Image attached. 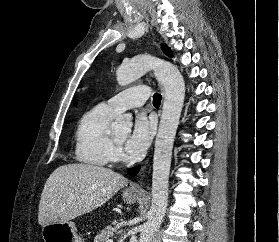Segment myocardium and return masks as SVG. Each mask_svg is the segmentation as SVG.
Listing matches in <instances>:
<instances>
[{
	"instance_id": "f54148a6",
	"label": "myocardium",
	"mask_w": 279,
	"mask_h": 242,
	"mask_svg": "<svg viewBox=\"0 0 279 242\" xmlns=\"http://www.w3.org/2000/svg\"><path fill=\"white\" fill-rule=\"evenodd\" d=\"M112 141H113L114 145L116 146V148H121V147H122V144L119 143V142H117V141L115 140V138H112Z\"/></svg>"
}]
</instances>
